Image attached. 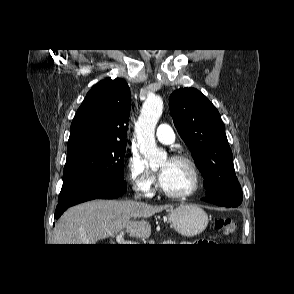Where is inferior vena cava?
Here are the masks:
<instances>
[{"label":"inferior vena cava","mask_w":294,"mask_h":294,"mask_svg":"<svg viewBox=\"0 0 294 294\" xmlns=\"http://www.w3.org/2000/svg\"><path fill=\"white\" fill-rule=\"evenodd\" d=\"M140 196H141V194L137 193V194L135 195V199L140 198Z\"/></svg>","instance_id":"inferior-vena-cava-1"}]
</instances>
